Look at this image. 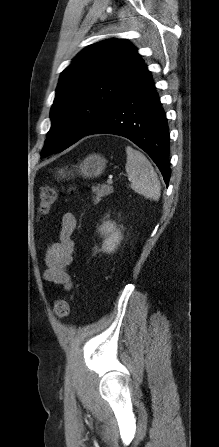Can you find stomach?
<instances>
[{
	"mask_svg": "<svg viewBox=\"0 0 219 447\" xmlns=\"http://www.w3.org/2000/svg\"><path fill=\"white\" fill-rule=\"evenodd\" d=\"M106 167V160L97 154L89 155L77 167V172L86 178L97 177L101 175ZM58 174L62 177L66 176L64 169H60ZM70 174V172H69Z\"/></svg>",
	"mask_w": 219,
	"mask_h": 447,
	"instance_id": "obj_1",
	"label": "stomach"
}]
</instances>
